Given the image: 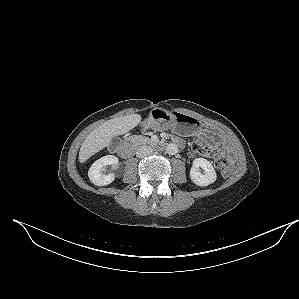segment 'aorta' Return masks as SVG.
Wrapping results in <instances>:
<instances>
[{"label": "aorta", "instance_id": "1", "mask_svg": "<svg viewBox=\"0 0 299 299\" xmlns=\"http://www.w3.org/2000/svg\"><path fill=\"white\" fill-rule=\"evenodd\" d=\"M166 151L169 155H175L178 153V146L174 143H170L167 145Z\"/></svg>", "mask_w": 299, "mask_h": 299}]
</instances>
